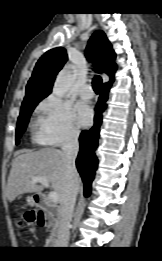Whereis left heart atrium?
<instances>
[{
    "mask_svg": "<svg viewBox=\"0 0 162 261\" xmlns=\"http://www.w3.org/2000/svg\"><path fill=\"white\" fill-rule=\"evenodd\" d=\"M76 113H77V119L78 123L81 126H88L93 117V111L88 103L86 102H79L76 105Z\"/></svg>",
    "mask_w": 162,
    "mask_h": 261,
    "instance_id": "left-heart-atrium-1",
    "label": "left heart atrium"
}]
</instances>
